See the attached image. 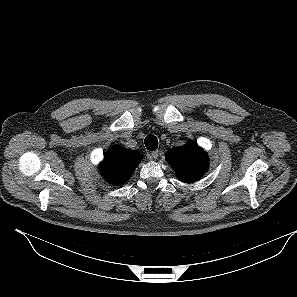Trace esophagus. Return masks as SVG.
I'll list each match as a JSON object with an SVG mask.
<instances>
[{"mask_svg": "<svg viewBox=\"0 0 297 297\" xmlns=\"http://www.w3.org/2000/svg\"><path fill=\"white\" fill-rule=\"evenodd\" d=\"M159 156V152L158 151H154L150 154V159L151 160H156Z\"/></svg>", "mask_w": 297, "mask_h": 297, "instance_id": "obj_1", "label": "esophagus"}]
</instances>
